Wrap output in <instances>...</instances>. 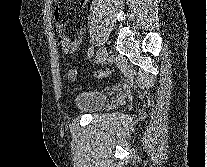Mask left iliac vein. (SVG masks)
I'll list each match as a JSON object with an SVG mask.
<instances>
[{
  "instance_id": "obj_1",
  "label": "left iliac vein",
  "mask_w": 207,
  "mask_h": 167,
  "mask_svg": "<svg viewBox=\"0 0 207 167\" xmlns=\"http://www.w3.org/2000/svg\"><path fill=\"white\" fill-rule=\"evenodd\" d=\"M108 56L107 49L105 47H100L96 53V62L98 64L105 63Z\"/></svg>"
}]
</instances>
